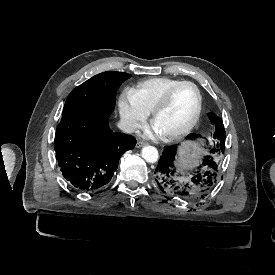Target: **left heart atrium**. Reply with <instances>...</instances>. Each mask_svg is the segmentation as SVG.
Masks as SVG:
<instances>
[{
  "mask_svg": "<svg viewBox=\"0 0 275 275\" xmlns=\"http://www.w3.org/2000/svg\"><path fill=\"white\" fill-rule=\"evenodd\" d=\"M163 135L164 134L155 125H153L152 130H149L146 132V136L150 138H157Z\"/></svg>",
  "mask_w": 275,
  "mask_h": 275,
  "instance_id": "39dd6f15",
  "label": "left heart atrium"
}]
</instances>
